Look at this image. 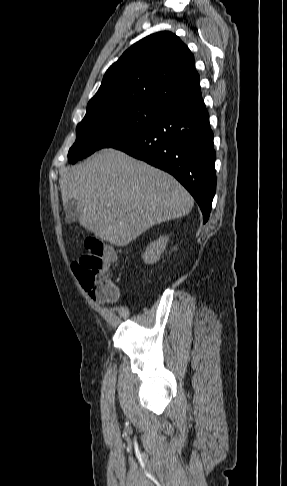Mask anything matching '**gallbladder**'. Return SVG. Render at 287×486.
<instances>
[{"instance_id": "gallbladder-1", "label": "gallbladder", "mask_w": 287, "mask_h": 486, "mask_svg": "<svg viewBox=\"0 0 287 486\" xmlns=\"http://www.w3.org/2000/svg\"><path fill=\"white\" fill-rule=\"evenodd\" d=\"M65 222L68 224L74 223L78 218V204L75 200H70L65 205Z\"/></svg>"}]
</instances>
